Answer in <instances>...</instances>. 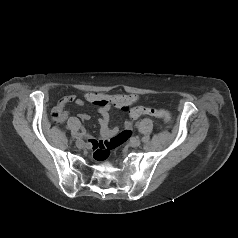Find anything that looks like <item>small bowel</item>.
Returning a JSON list of instances; mask_svg holds the SVG:
<instances>
[{
  "label": "small bowel",
  "mask_w": 238,
  "mask_h": 238,
  "mask_svg": "<svg viewBox=\"0 0 238 238\" xmlns=\"http://www.w3.org/2000/svg\"><path fill=\"white\" fill-rule=\"evenodd\" d=\"M86 101L98 107V112L101 115L99 119L100 133L101 136L104 139H106L118 133V127L110 128L109 126L111 106L114 105L118 108L128 109L129 106L134 101H136V97L122 94L109 96L97 92H87L84 94L83 98H79L76 95H69L61 99L59 103L54 107L53 109L54 119L58 123L64 122L68 118V113L65 111V108L68 104L75 103L78 106H83ZM79 118L81 120H88L90 116L88 114H80Z\"/></svg>",
  "instance_id": "c3829d8e"
}]
</instances>
